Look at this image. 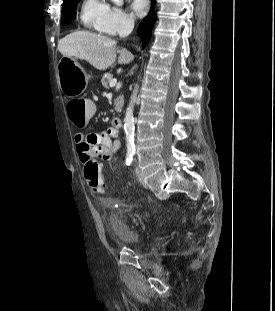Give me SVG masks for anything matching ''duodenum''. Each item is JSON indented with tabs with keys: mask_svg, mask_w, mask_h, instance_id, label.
<instances>
[{
	"mask_svg": "<svg viewBox=\"0 0 275 311\" xmlns=\"http://www.w3.org/2000/svg\"><path fill=\"white\" fill-rule=\"evenodd\" d=\"M112 124H113L116 128H119V129L122 127V121H121V119L118 118V117L113 118Z\"/></svg>",
	"mask_w": 275,
	"mask_h": 311,
	"instance_id": "duodenum-1",
	"label": "duodenum"
}]
</instances>
